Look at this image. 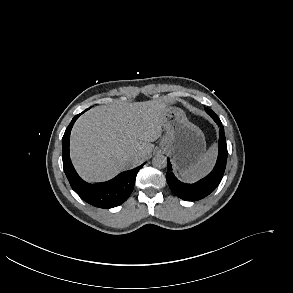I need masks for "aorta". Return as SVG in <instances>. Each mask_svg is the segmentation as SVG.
<instances>
[{
  "instance_id": "1",
  "label": "aorta",
  "mask_w": 293,
  "mask_h": 293,
  "mask_svg": "<svg viewBox=\"0 0 293 293\" xmlns=\"http://www.w3.org/2000/svg\"><path fill=\"white\" fill-rule=\"evenodd\" d=\"M152 165L156 168H165L167 165V159L164 155H156L152 160Z\"/></svg>"
}]
</instances>
